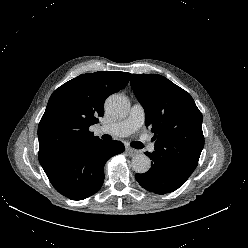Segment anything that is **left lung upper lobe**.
Returning a JSON list of instances; mask_svg holds the SVG:
<instances>
[{
  "mask_svg": "<svg viewBox=\"0 0 248 248\" xmlns=\"http://www.w3.org/2000/svg\"><path fill=\"white\" fill-rule=\"evenodd\" d=\"M130 84L154 133L153 155L189 178L204 147L202 114L193 98L158 74H133Z\"/></svg>",
  "mask_w": 248,
  "mask_h": 248,
  "instance_id": "left-lung-upper-lobe-1",
  "label": "left lung upper lobe"
}]
</instances>
